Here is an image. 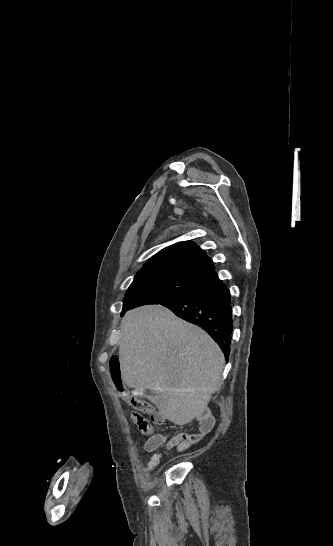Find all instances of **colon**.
<instances>
[{
  "label": "colon",
  "mask_w": 333,
  "mask_h": 546,
  "mask_svg": "<svg viewBox=\"0 0 333 546\" xmlns=\"http://www.w3.org/2000/svg\"><path fill=\"white\" fill-rule=\"evenodd\" d=\"M109 371L118 390L126 395V390L121 385V366L117 356L111 357L109 361ZM127 402L132 409L135 410L130 415L131 421L144 435L151 434L153 432L152 425L149 420L143 416V413L152 416L154 414L153 406L146 400L135 396H127Z\"/></svg>",
  "instance_id": "5ec220e1"
}]
</instances>
